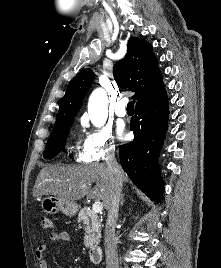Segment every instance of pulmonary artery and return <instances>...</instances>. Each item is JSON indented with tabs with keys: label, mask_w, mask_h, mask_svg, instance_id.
<instances>
[{
	"label": "pulmonary artery",
	"mask_w": 221,
	"mask_h": 268,
	"mask_svg": "<svg viewBox=\"0 0 221 268\" xmlns=\"http://www.w3.org/2000/svg\"><path fill=\"white\" fill-rule=\"evenodd\" d=\"M126 104H127V100L126 99H121L117 103L116 108H115V113H116L117 116H119V117L126 116V114H127Z\"/></svg>",
	"instance_id": "pulmonary-artery-1"
}]
</instances>
